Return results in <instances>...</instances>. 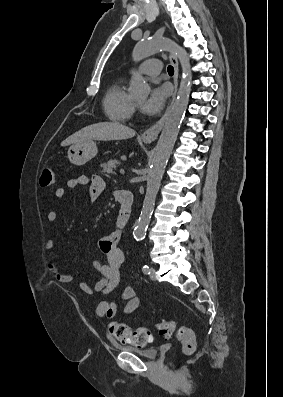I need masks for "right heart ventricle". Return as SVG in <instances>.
<instances>
[{
	"label": "right heart ventricle",
	"mask_w": 283,
	"mask_h": 397,
	"mask_svg": "<svg viewBox=\"0 0 283 397\" xmlns=\"http://www.w3.org/2000/svg\"><path fill=\"white\" fill-rule=\"evenodd\" d=\"M103 108L106 116L115 122H125L131 115L132 100L125 91L123 79L115 80L107 89Z\"/></svg>",
	"instance_id": "right-heart-ventricle-1"
}]
</instances>
